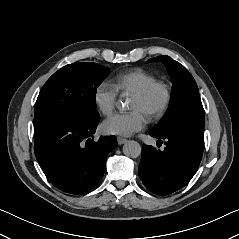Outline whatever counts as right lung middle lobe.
Wrapping results in <instances>:
<instances>
[{"mask_svg":"<svg viewBox=\"0 0 239 239\" xmlns=\"http://www.w3.org/2000/svg\"><path fill=\"white\" fill-rule=\"evenodd\" d=\"M109 72V68L90 62H76L58 70L39 93L34 112L35 127L62 116L100 119L95 110L96 88Z\"/></svg>","mask_w":239,"mask_h":239,"instance_id":"dd1d6c3e","label":"right lung middle lobe"}]
</instances>
